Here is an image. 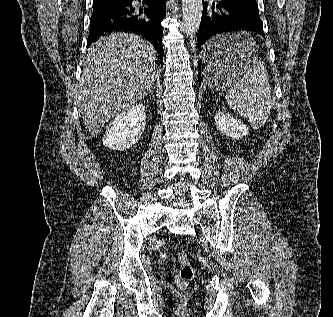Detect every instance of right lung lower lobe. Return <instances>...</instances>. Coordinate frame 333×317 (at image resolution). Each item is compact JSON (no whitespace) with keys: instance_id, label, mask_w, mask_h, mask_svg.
Returning a JSON list of instances; mask_svg holds the SVG:
<instances>
[{"instance_id":"right-lung-lower-lobe-1","label":"right lung lower lobe","mask_w":333,"mask_h":317,"mask_svg":"<svg viewBox=\"0 0 333 317\" xmlns=\"http://www.w3.org/2000/svg\"><path fill=\"white\" fill-rule=\"evenodd\" d=\"M145 1L148 8L144 9L134 8L132 0L93 5L88 46L106 32L130 31L149 40L163 56L161 22L166 14L165 0Z\"/></svg>"}]
</instances>
